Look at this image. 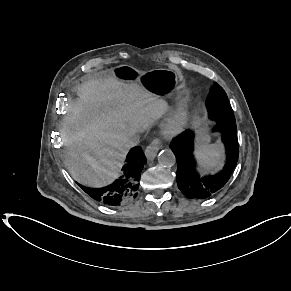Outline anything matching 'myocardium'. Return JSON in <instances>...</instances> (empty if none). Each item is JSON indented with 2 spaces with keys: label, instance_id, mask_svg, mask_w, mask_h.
Listing matches in <instances>:
<instances>
[{
  "label": "myocardium",
  "instance_id": "f54148a6",
  "mask_svg": "<svg viewBox=\"0 0 291 291\" xmlns=\"http://www.w3.org/2000/svg\"><path fill=\"white\" fill-rule=\"evenodd\" d=\"M188 120V109L184 106L177 107L162 122L161 132L166 137L177 136L185 130Z\"/></svg>",
  "mask_w": 291,
  "mask_h": 291
}]
</instances>
